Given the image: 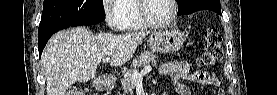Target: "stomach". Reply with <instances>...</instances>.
I'll return each mask as SVG.
<instances>
[{"label":"stomach","mask_w":277,"mask_h":95,"mask_svg":"<svg viewBox=\"0 0 277 95\" xmlns=\"http://www.w3.org/2000/svg\"><path fill=\"white\" fill-rule=\"evenodd\" d=\"M148 42L153 51L171 54L182 47L185 42V34L176 28L163 29L152 32Z\"/></svg>","instance_id":"stomach-1"}]
</instances>
